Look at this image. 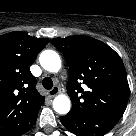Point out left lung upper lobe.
<instances>
[{"label": "left lung upper lobe", "instance_id": "1", "mask_svg": "<svg viewBox=\"0 0 136 136\" xmlns=\"http://www.w3.org/2000/svg\"><path fill=\"white\" fill-rule=\"evenodd\" d=\"M52 44L69 67V113L122 117L130 91L119 55L105 43L84 35L55 38Z\"/></svg>", "mask_w": 136, "mask_h": 136}]
</instances>
